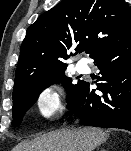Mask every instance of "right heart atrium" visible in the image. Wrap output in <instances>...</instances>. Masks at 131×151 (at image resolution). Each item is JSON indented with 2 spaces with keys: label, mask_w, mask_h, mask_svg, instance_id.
Masks as SVG:
<instances>
[{
  "label": "right heart atrium",
  "mask_w": 131,
  "mask_h": 151,
  "mask_svg": "<svg viewBox=\"0 0 131 151\" xmlns=\"http://www.w3.org/2000/svg\"><path fill=\"white\" fill-rule=\"evenodd\" d=\"M37 108L45 118L57 114L63 108V102L58 90L53 87L43 88L37 97Z\"/></svg>",
  "instance_id": "d8ad5b80"
}]
</instances>
